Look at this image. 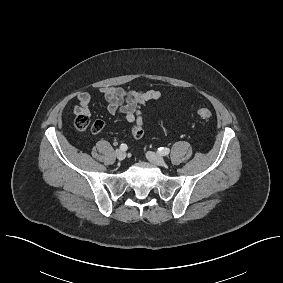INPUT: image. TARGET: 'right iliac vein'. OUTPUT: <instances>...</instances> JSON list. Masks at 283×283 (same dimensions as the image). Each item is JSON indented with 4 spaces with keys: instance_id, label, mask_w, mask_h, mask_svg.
Here are the masks:
<instances>
[{
    "instance_id": "63e3f726",
    "label": "right iliac vein",
    "mask_w": 283,
    "mask_h": 283,
    "mask_svg": "<svg viewBox=\"0 0 283 283\" xmlns=\"http://www.w3.org/2000/svg\"><path fill=\"white\" fill-rule=\"evenodd\" d=\"M115 155H116L117 159H119V160H123L126 157V153L121 149H117L115 151Z\"/></svg>"
}]
</instances>
